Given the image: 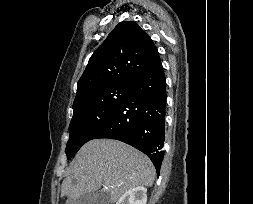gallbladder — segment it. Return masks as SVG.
I'll list each match as a JSON object with an SVG mask.
<instances>
[{"mask_svg": "<svg viewBox=\"0 0 253 204\" xmlns=\"http://www.w3.org/2000/svg\"><path fill=\"white\" fill-rule=\"evenodd\" d=\"M106 192H93L81 195L78 200L77 204H109Z\"/></svg>", "mask_w": 253, "mask_h": 204, "instance_id": "obj_1", "label": "gallbladder"}]
</instances>
